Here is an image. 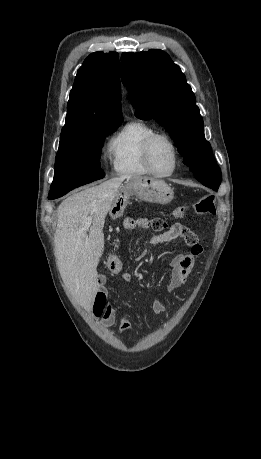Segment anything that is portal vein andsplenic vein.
Returning <instances> with one entry per match:
<instances>
[{
  "label": "portal vein and splenic vein",
  "instance_id": "obj_1",
  "mask_svg": "<svg viewBox=\"0 0 261 459\" xmlns=\"http://www.w3.org/2000/svg\"><path fill=\"white\" fill-rule=\"evenodd\" d=\"M93 217L89 216L85 221V228L88 229L92 223Z\"/></svg>",
  "mask_w": 261,
  "mask_h": 459
}]
</instances>
